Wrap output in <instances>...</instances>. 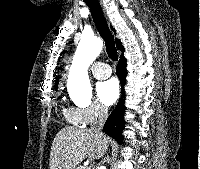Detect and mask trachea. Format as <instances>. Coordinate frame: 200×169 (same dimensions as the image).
<instances>
[{"instance_id":"trachea-1","label":"trachea","mask_w":200,"mask_h":169,"mask_svg":"<svg viewBox=\"0 0 200 169\" xmlns=\"http://www.w3.org/2000/svg\"><path fill=\"white\" fill-rule=\"evenodd\" d=\"M87 6L90 8L95 26L100 34V36L103 38L106 52L109 56V58L112 61L118 60V53L117 49L115 47L114 37L109 30V27L107 25V22L105 20V17L103 15L101 6L98 2V0H83Z\"/></svg>"}]
</instances>
